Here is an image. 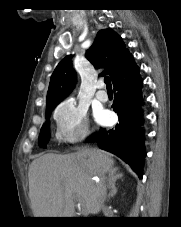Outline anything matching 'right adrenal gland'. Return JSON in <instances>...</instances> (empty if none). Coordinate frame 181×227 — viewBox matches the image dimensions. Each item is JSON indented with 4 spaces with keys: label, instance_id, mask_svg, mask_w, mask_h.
I'll use <instances>...</instances> for the list:
<instances>
[{
    "label": "right adrenal gland",
    "instance_id": "right-adrenal-gland-1",
    "mask_svg": "<svg viewBox=\"0 0 181 227\" xmlns=\"http://www.w3.org/2000/svg\"><path fill=\"white\" fill-rule=\"evenodd\" d=\"M123 174L118 171V168H115L109 175V188H110V193L108 195V199L113 198L116 193H117V188H116V181L118 179H122Z\"/></svg>",
    "mask_w": 181,
    "mask_h": 227
}]
</instances>
